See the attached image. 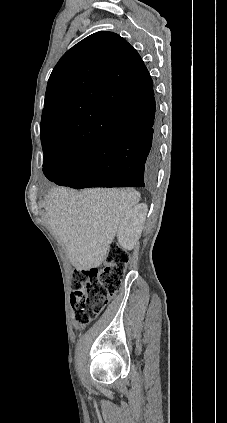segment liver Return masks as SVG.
Returning <instances> with one entry per match:
<instances>
[{"instance_id":"6515ba94","label":"liver","mask_w":227,"mask_h":423,"mask_svg":"<svg viewBox=\"0 0 227 423\" xmlns=\"http://www.w3.org/2000/svg\"><path fill=\"white\" fill-rule=\"evenodd\" d=\"M140 202L136 190L70 188L51 190L44 217L62 239L76 269L99 267L106 259L118 227L127 211Z\"/></svg>"}]
</instances>
